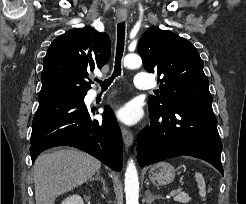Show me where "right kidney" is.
Segmentation results:
<instances>
[{
    "label": "right kidney",
    "mask_w": 246,
    "mask_h": 204,
    "mask_svg": "<svg viewBox=\"0 0 246 204\" xmlns=\"http://www.w3.org/2000/svg\"><path fill=\"white\" fill-rule=\"evenodd\" d=\"M61 204H84V201L79 195H71L64 199Z\"/></svg>",
    "instance_id": "obj_1"
}]
</instances>
